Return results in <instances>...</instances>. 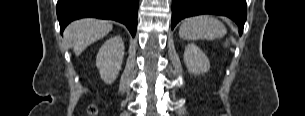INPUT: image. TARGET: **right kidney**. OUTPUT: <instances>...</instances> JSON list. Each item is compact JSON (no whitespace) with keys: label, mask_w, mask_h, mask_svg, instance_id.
<instances>
[{"label":"right kidney","mask_w":305,"mask_h":116,"mask_svg":"<svg viewBox=\"0 0 305 116\" xmlns=\"http://www.w3.org/2000/svg\"><path fill=\"white\" fill-rule=\"evenodd\" d=\"M124 57V43L120 36L108 39L99 49L96 66L102 80L112 84L118 76Z\"/></svg>","instance_id":"1"}]
</instances>
